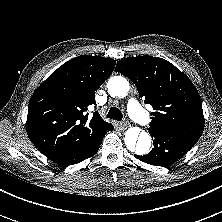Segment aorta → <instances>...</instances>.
<instances>
[{
  "instance_id": "1",
  "label": "aorta",
  "mask_w": 222,
  "mask_h": 222,
  "mask_svg": "<svg viewBox=\"0 0 222 222\" xmlns=\"http://www.w3.org/2000/svg\"><path fill=\"white\" fill-rule=\"evenodd\" d=\"M108 92L113 97H125L129 91V82L122 76H114L109 79ZM129 151L137 155H145L151 147V138L145 131L136 128L129 129L124 138Z\"/></svg>"
}]
</instances>
